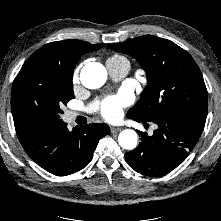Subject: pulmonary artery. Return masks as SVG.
<instances>
[{"instance_id":"obj_1","label":"pulmonary artery","mask_w":221,"mask_h":221,"mask_svg":"<svg viewBox=\"0 0 221 221\" xmlns=\"http://www.w3.org/2000/svg\"><path fill=\"white\" fill-rule=\"evenodd\" d=\"M106 67L108 72L114 80H119L125 77L130 69V64L128 60H113L108 59L106 61ZM78 113L70 112L68 114V119L73 120L77 117Z\"/></svg>"}]
</instances>
